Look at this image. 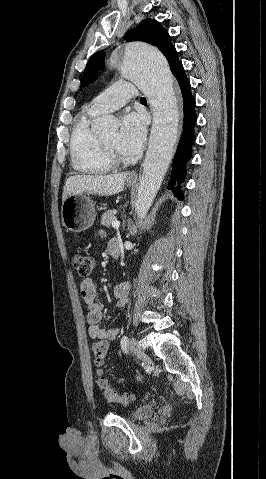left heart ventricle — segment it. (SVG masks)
Returning <instances> with one entry per match:
<instances>
[{
	"label": "left heart ventricle",
	"instance_id": "1",
	"mask_svg": "<svg viewBox=\"0 0 266 479\" xmlns=\"http://www.w3.org/2000/svg\"><path fill=\"white\" fill-rule=\"evenodd\" d=\"M104 140L118 153H120V149L118 146V132L117 130L110 131L102 135Z\"/></svg>",
	"mask_w": 266,
	"mask_h": 479
}]
</instances>
